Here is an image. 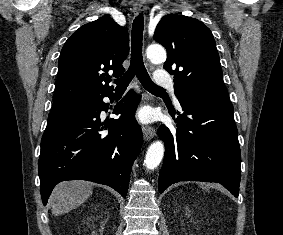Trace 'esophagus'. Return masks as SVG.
Instances as JSON below:
<instances>
[{
	"label": "esophagus",
	"mask_w": 283,
	"mask_h": 235,
	"mask_svg": "<svg viewBox=\"0 0 283 235\" xmlns=\"http://www.w3.org/2000/svg\"><path fill=\"white\" fill-rule=\"evenodd\" d=\"M145 11V5L143 3H136L134 5V13L140 14ZM143 136L146 141L151 140L155 136V129L151 126L143 127Z\"/></svg>",
	"instance_id": "34e87169"
}]
</instances>
